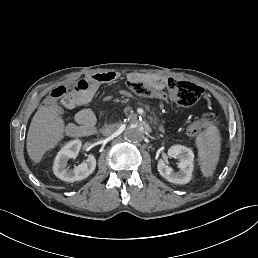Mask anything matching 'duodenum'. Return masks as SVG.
I'll use <instances>...</instances> for the list:
<instances>
[{
    "label": "duodenum",
    "mask_w": 258,
    "mask_h": 258,
    "mask_svg": "<svg viewBox=\"0 0 258 258\" xmlns=\"http://www.w3.org/2000/svg\"><path fill=\"white\" fill-rule=\"evenodd\" d=\"M118 78H119V75L114 72H99L88 76L89 82L94 85L110 83L117 80ZM85 134H86L85 132L81 133V135H85Z\"/></svg>",
    "instance_id": "duodenum-1"
}]
</instances>
